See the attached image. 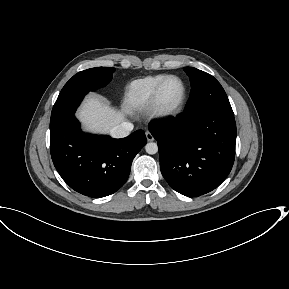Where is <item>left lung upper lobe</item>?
I'll list each match as a JSON object with an SVG mask.
<instances>
[{
  "label": "left lung upper lobe",
  "instance_id": "left-lung-upper-lobe-1",
  "mask_svg": "<svg viewBox=\"0 0 289 289\" xmlns=\"http://www.w3.org/2000/svg\"><path fill=\"white\" fill-rule=\"evenodd\" d=\"M184 70L192 87L185 111L212 107L233 112L224 89L212 75L193 67Z\"/></svg>",
  "mask_w": 289,
  "mask_h": 289
}]
</instances>
